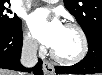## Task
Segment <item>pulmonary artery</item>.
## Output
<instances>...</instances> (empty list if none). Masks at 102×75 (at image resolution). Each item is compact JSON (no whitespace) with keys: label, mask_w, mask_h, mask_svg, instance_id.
I'll return each mask as SVG.
<instances>
[{"label":"pulmonary artery","mask_w":102,"mask_h":75,"mask_svg":"<svg viewBox=\"0 0 102 75\" xmlns=\"http://www.w3.org/2000/svg\"><path fill=\"white\" fill-rule=\"evenodd\" d=\"M48 2H50V3H56L58 1H56V0H49Z\"/></svg>","instance_id":"e3ab8cb5"}]
</instances>
